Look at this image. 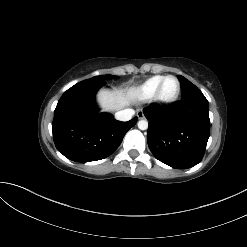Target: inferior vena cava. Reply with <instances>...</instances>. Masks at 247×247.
Segmentation results:
<instances>
[{"instance_id":"inferior-vena-cava-1","label":"inferior vena cava","mask_w":247,"mask_h":247,"mask_svg":"<svg viewBox=\"0 0 247 247\" xmlns=\"http://www.w3.org/2000/svg\"><path fill=\"white\" fill-rule=\"evenodd\" d=\"M134 115L133 109H124L115 113V118L119 121H128Z\"/></svg>"}]
</instances>
